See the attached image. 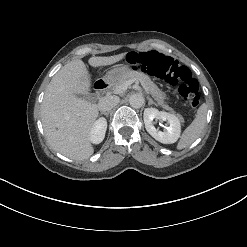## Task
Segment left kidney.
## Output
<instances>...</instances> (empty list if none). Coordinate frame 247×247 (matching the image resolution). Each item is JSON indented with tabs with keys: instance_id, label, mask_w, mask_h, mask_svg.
<instances>
[{
	"instance_id": "5707ae66",
	"label": "left kidney",
	"mask_w": 247,
	"mask_h": 247,
	"mask_svg": "<svg viewBox=\"0 0 247 247\" xmlns=\"http://www.w3.org/2000/svg\"><path fill=\"white\" fill-rule=\"evenodd\" d=\"M144 123L147 132L157 141L163 144L175 143L180 137L181 124L180 120L173 114L159 111L155 108H146L144 110ZM167 121L169 126L164 131L156 129L153 120Z\"/></svg>"
}]
</instances>
